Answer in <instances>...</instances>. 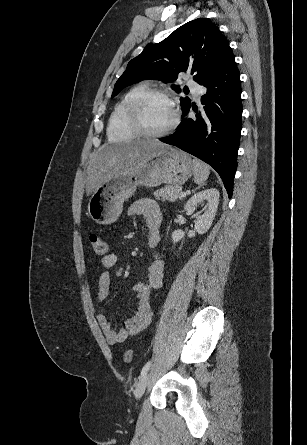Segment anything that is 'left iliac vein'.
<instances>
[{
    "mask_svg": "<svg viewBox=\"0 0 307 445\" xmlns=\"http://www.w3.org/2000/svg\"><path fill=\"white\" fill-rule=\"evenodd\" d=\"M148 383V374H145L141 377L139 382L137 383L136 389H135V397L136 399H140L141 396L144 394V391L146 389Z\"/></svg>",
    "mask_w": 307,
    "mask_h": 445,
    "instance_id": "obj_1",
    "label": "left iliac vein"
}]
</instances>
